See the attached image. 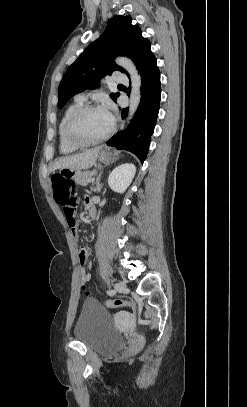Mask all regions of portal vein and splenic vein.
Segmentation results:
<instances>
[{"label": "portal vein and splenic vein", "mask_w": 247, "mask_h": 407, "mask_svg": "<svg viewBox=\"0 0 247 407\" xmlns=\"http://www.w3.org/2000/svg\"><path fill=\"white\" fill-rule=\"evenodd\" d=\"M94 180H95V178H90L88 181L93 182Z\"/></svg>", "instance_id": "18ae733b"}]
</instances>
